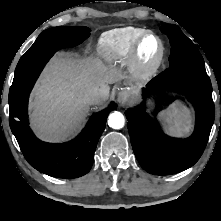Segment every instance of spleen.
Segmentation results:
<instances>
[{"instance_id": "spleen-1", "label": "spleen", "mask_w": 221, "mask_h": 221, "mask_svg": "<svg viewBox=\"0 0 221 221\" xmlns=\"http://www.w3.org/2000/svg\"><path fill=\"white\" fill-rule=\"evenodd\" d=\"M158 119L165 131L174 136L182 135L191 128L190 112L179 101L173 103L169 111L161 112Z\"/></svg>"}]
</instances>
